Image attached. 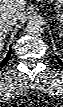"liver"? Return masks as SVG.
<instances>
[{"label":"liver","instance_id":"6515ba94","mask_svg":"<svg viewBox=\"0 0 63 107\" xmlns=\"http://www.w3.org/2000/svg\"><path fill=\"white\" fill-rule=\"evenodd\" d=\"M26 0H0V15L13 14L16 15L17 19L23 20L26 17L25 6ZM4 33L0 31V46L3 45Z\"/></svg>","mask_w":63,"mask_h":107}]
</instances>
